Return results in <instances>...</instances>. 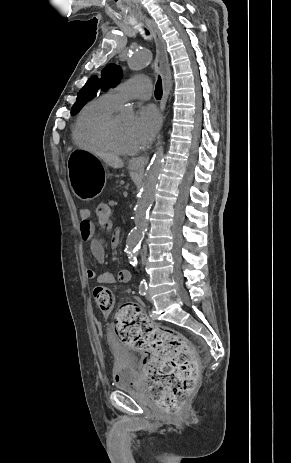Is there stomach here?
Returning a JSON list of instances; mask_svg holds the SVG:
<instances>
[{"label":"stomach","instance_id":"0dacf381","mask_svg":"<svg viewBox=\"0 0 291 463\" xmlns=\"http://www.w3.org/2000/svg\"><path fill=\"white\" fill-rule=\"evenodd\" d=\"M67 172L76 197L90 201L100 194L104 185V171L96 155L81 149L72 151L67 161Z\"/></svg>","mask_w":291,"mask_h":463}]
</instances>
